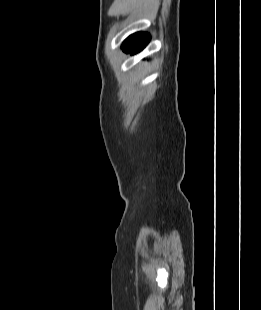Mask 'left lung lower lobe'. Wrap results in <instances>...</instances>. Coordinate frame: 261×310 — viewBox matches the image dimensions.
<instances>
[{"label":"left lung lower lobe","mask_w":261,"mask_h":310,"mask_svg":"<svg viewBox=\"0 0 261 310\" xmlns=\"http://www.w3.org/2000/svg\"><path fill=\"white\" fill-rule=\"evenodd\" d=\"M150 35L147 33L138 32L130 35L122 44L125 51H130L132 54L140 52L149 42Z\"/></svg>","instance_id":"1"}]
</instances>
